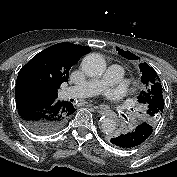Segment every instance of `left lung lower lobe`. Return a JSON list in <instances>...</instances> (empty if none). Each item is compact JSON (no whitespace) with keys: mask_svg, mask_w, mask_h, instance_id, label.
Returning <instances> with one entry per match:
<instances>
[{"mask_svg":"<svg viewBox=\"0 0 177 177\" xmlns=\"http://www.w3.org/2000/svg\"><path fill=\"white\" fill-rule=\"evenodd\" d=\"M152 132L153 126L147 122H142L132 131L113 136L110 142L117 147L130 149L141 145Z\"/></svg>","mask_w":177,"mask_h":177,"instance_id":"left-lung-lower-lobe-1","label":"left lung lower lobe"}]
</instances>
